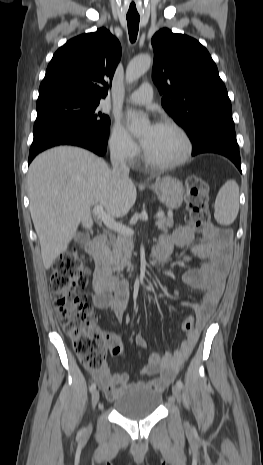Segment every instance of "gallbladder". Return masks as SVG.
Wrapping results in <instances>:
<instances>
[{
  "label": "gallbladder",
  "mask_w": 263,
  "mask_h": 465,
  "mask_svg": "<svg viewBox=\"0 0 263 465\" xmlns=\"http://www.w3.org/2000/svg\"><path fill=\"white\" fill-rule=\"evenodd\" d=\"M74 239H75L76 242H78L80 244H84L90 239V237H89L88 234L78 232V233L75 234Z\"/></svg>",
  "instance_id": "bac80fb5"
}]
</instances>
